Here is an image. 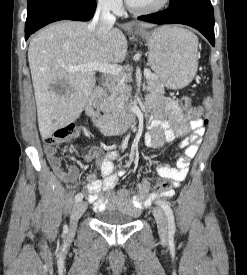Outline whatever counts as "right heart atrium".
<instances>
[{
    "instance_id": "d8ad5b80",
    "label": "right heart atrium",
    "mask_w": 247,
    "mask_h": 275,
    "mask_svg": "<svg viewBox=\"0 0 247 275\" xmlns=\"http://www.w3.org/2000/svg\"><path fill=\"white\" fill-rule=\"evenodd\" d=\"M98 5L104 10L118 13L123 7V0H97Z\"/></svg>"
}]
</instances>
